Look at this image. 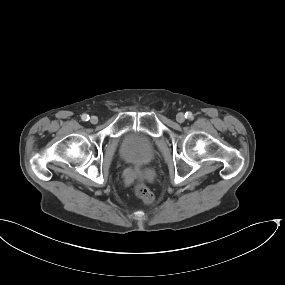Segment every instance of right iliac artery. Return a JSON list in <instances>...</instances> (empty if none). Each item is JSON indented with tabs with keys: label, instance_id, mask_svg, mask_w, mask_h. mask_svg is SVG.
Masks as SVG:
<instances>
[{
	"label": "right iliac artery",
	"instance_id": "obj_1",
	"mask_svg": "<svg viewBox=\"0 0 285 285\" xmlns=\"http://www.w3.org/2000/svg\"><path fill=\"white\" fill-rule=\"evenodd\" d=\"M81 119H82L83 121H88V120H89V115L83 114V115L81 116Z\"/></svg>",
	"mask_w": 285,
	"mask_h": 285
}]
</instances>
